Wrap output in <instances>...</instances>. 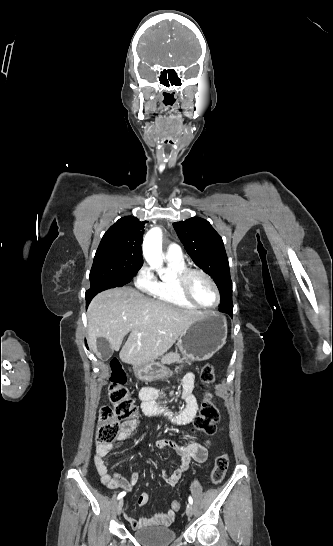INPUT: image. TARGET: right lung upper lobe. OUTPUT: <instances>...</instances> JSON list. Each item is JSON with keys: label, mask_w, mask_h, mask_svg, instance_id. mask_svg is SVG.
Wrapping results in <instances>:
<instances>
[{"label": "right lung upper lobe", "mask_w": 333, "mask_h": 546, "mask_svg": "<svg viewBox=\"0 0 333 546\" xmlns=\"http://www.w3.org/2000/svg\"><path fill=\"white\" fill-rule=\"evenodd\" d=\"M145 221L136 217L125 216L112 225L102 237L96 254L115 253L126 256L132 266L141 267L142 248Z\"/></svg>", "instance_id": "right-lung-upper-lobe-1"}]
</instances>
